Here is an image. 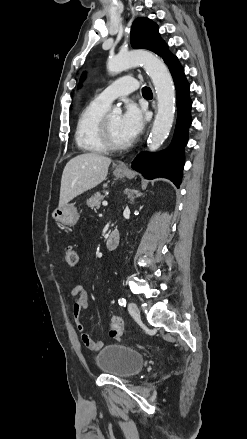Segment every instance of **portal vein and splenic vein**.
I'll use <instances>...</instances> for the list:
<instances>
[{
	"mask_svg": "<svg viewBox=\"0 0 247 439\" xmlns=\"http://www.w3.org/2000/svg\"><path fill=\"white\" fill-rule=\"evenodd\" d=\"M102 205H103V206H107L108 203H107L106 201H104V202L102 203Z\"/></svg>",
	"mask_w": 247,
	"mask_h": 439,
	"instance_id": "obj_1",
	"label": "portal vein and splenic vein"
}]
</instances>
